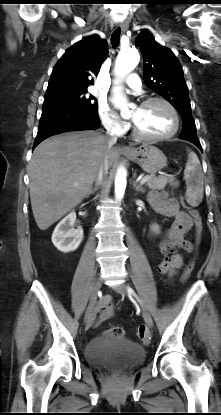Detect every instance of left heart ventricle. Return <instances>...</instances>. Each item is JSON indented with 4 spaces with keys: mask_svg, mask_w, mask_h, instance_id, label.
Instances as JSON below:
<instances>
[{
    "mask_svg": "<svg viewBox=\"0 0 221 415\" xmlns=\"http://www.w3.org/2000/svg\"><path fill=\"white\" fill-rule=\"evenodd\" d=\"M131 118L143 133L154 136L170 132L174 125L171 112L159 102L135 108Z\"/></svg>",
    "mask_w": 221,
    "mask_h": 415,
    "instance_id": "b2bd125f",
    "label": "left heart ventricle"
}]
</instances>
